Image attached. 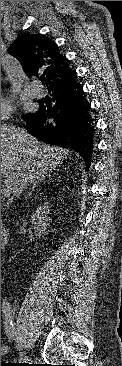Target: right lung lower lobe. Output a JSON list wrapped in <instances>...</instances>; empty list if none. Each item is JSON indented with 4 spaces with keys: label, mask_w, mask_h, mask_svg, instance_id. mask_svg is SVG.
I'll return each mask as SVG.
<instances>
[{
    "label": "right lung lower lobe",
    "mask_w": 122,
    "mask_h": 366,
    "mask_svg": "<svg viewBox=\"0 0 122 366\" xmlns=\"http://www.w3.org/2000/svg\"><path fill=\"white\" fill-rule=\"evenodd\" d=\"M52 105L40 106L35 114L25 118L26 129L39 140L74 150L90 166L94 147L93 119L83 88L73 77L62 84L48 87Z\"/></svg>",
    "instance_id": "right-lung-lower-lobe-1"
}]
</instances>
